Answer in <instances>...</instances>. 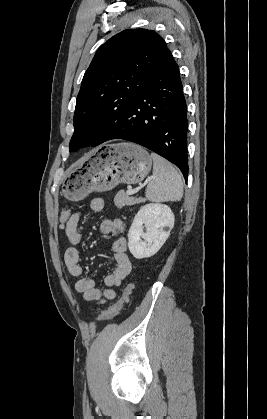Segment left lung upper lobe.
I'll list each match as a JSON object with an SVG mask.
<instances>
[{
  "label": "left lung upper lobe",
  "instance_id": "1",
  "mask_svg": "<svg viewBox=\"0 0 267 419\" xmlns=\"http://www.w3.org/2000/svg\"><path fill=\"white\" fill-rule=\"evenodd\" d=\"M168 52L162 37L147 29L124 30L100 46L77 96L70 151L93 146L106 122L125 115Z\"/></svg>",
  "mask_w": 267,
  "mask_h": 419
}]
</instances>
